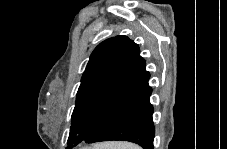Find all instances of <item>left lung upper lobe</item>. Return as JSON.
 <instances>
[{"mask_svg": "<svg viewBox=\"0 0 227 149\" xmlns=\"http://www.w3.org/2000/svg\"><path fill=\"white\" fill-rule=\"evenodd\" d=\"M141 58L138 45L126 36L109 38L95 48L77 92L68 147L93 131L128 86Z\"/></svg>", "mask_w": 227, "mask_h": 149, "instance_id": "1", "label": "left lung upper lobe"}]
</instances>
